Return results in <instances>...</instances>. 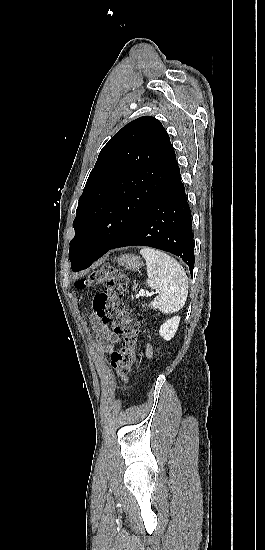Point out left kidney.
Segmentation results:
<instances>
[{
  "label": "left kidney",
  "instance_id": "1",
  "mask_svg": "<svg viewBox=\"0 0 265 550\" xmlns=\"http://www.w3.org/2000/svg\"><path fill=\"white\" fill-rule=\"evenodd\" d=\"M179 323H180L179 316H174L166 320L160 326V330H159L160 336L163 337L166 341L171 340L178 329Z\"/></svg>",
  "mask_w": 265,
  "mask_h": 550
}]
</instances>
